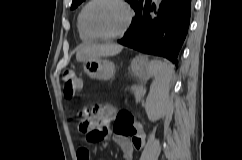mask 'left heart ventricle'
Here are the masks:
<instances>
[{
    "mask_svg": "<svg viewBox=\"0 0 242 160\" xmlns=\"http://www.w3.org/2000/svg\"><path fill=\"white\" fill-rule=\"evenodd\" d=\"M126 18L125 9L115 0H98L86 12V24L96 34L120 31Z\"/></svg>",
    "mask_w": 242,
    "mask_h": 160,
    "instance_id": "b2bd125f",
    "label": "left heart ventricle"
}]
</instances>
